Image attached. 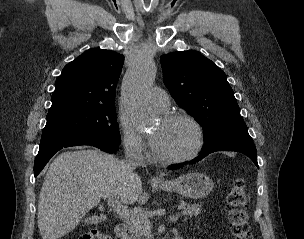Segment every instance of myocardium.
<instances>
[{"mask_svg":"<svg viewBox=\"0 0 304 239\" xmlns=\"http://www.w3.org/2000/svg\"><path fill=\"white\" fill-rule=\"evenodd\" d=\"M163 120L165 122L185 121L189 123L194 129L195 141L192 148L188 152L179 156H162L155 151V160L164 164H178L195 158L199 154L205 143V133L203 126L200 124V122L196 120L192 115L184 112L166 114L164 115Z\"/></svg>","mask_w":304,"mask_h":239,"instance_id":"obj_1","label":"myocardium"}]
</instances>
